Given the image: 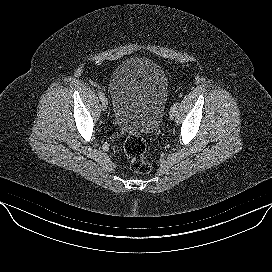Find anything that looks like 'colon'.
<instances>
[{"instance_id":"1","label":"colon","mask_w":272,"mask_h":272,"mask_svg":"<svg viewBox=\"0 0 272 272\" xmlns=\"http://www.w3.org/2000/svg\"><path fill=\"white\" fill-rule=\"evenodd\" d=\"M146 143L140 136L129 135L125 139L124 151L130 160V168L137 174H147L151 171L152 165L146 159Z\"/></svg>"}]
</instances>
